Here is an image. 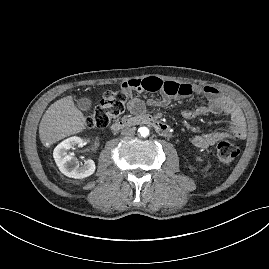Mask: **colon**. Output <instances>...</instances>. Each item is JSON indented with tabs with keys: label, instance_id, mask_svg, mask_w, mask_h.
Instances as JSON below:
<instances>
[{
	"label": "colon",
	"instance_id": "colon-1",
	"mask_svg": "<svg viewBox=\"0 0 269 269\" xmlns=\"http://www.w3.org/2000/svg\"><path fill=\"white\" fill-rule=\"evenodd\" d=\"M129 91L122 87L120 90H108L104 93L100 103L87 116L86 124L89 128H104L117 118L125 109ZM240 153V146L229 140H222L217 146V157L223 164L232 163Z\"/></svg>",
	"mask_w": 269,
	"mask_h": 269
}]
</instances>
